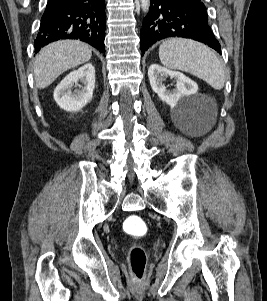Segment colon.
I'll return each instance as SVG.
<instances>
[{
  "label": "colon",
  "instance_id": "obj_1",
  "mask_svg": "<svg viewBox=\"0 0 267 301\" xmlns=\"http://www.w3.org/2000/svg\"><path fill=\"white\" fill-rule=\"evenodd\" d=\"M124 231L132 236H143L146 233V224L137 215H130L123 224ZM129 262L132 279L140 282L144 278L147 255L141 246H133L129 252Z\"/></svg>",
  "mask_w": 267,
  "mask_h": 301
}]
</instances>
